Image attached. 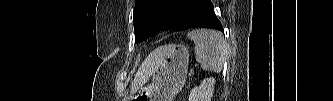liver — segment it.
I'll return each mask as SVG.
<instances>
[{
  "label": "liver",
  "instance_id": "1",
  "mask_svg": "<svg viewBox=\"0 0 333 101\" xmlns=\"http://www.w3.org/2000/svg\"><path fill=\"white\" fill-rule=\"evenodd\" d=\"M161 50L162 47L158 48L144 60L132 83V93H135L138 89H140L148 81L150 76L153 75L158 69Z\"/></svg>",
  "mask_w": 333,
  "mask_h": 101
}]
</instances>
